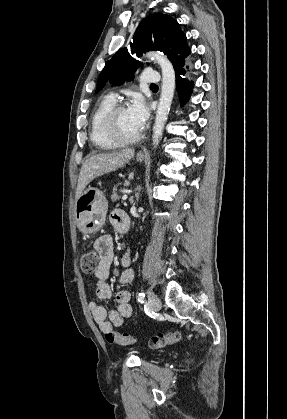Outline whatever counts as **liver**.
Listing matches in <instances>:
<instances>
[{"mask_svg": "<svg viewBox=\"0 0 287 419\" xmlns=\"http://www.w3.org/2000/svg\"><path fill=\"white\" fill-rule=\"evenodd\" d=\"M134 153V149H125L89 156L80 170L75 199L77 200L82 195L84 189L92 180L122 167L133 158Z\"/></svg>", "mask_w": 287, "mask_h": 419, "instance_id": "1", "label": "liver"}]
</instances>
